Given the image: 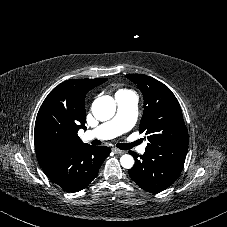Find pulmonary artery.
Listing matches in <instances>:
<instances>
[{"label": "pulmonary artery", "instance_id": "1", "mask_svg": "<svg viewBox=\"0 0 227 227\" xmlns=\"http://www.w3.org/2000/svg\"><path fill=\"white\" fill-rule=\"evenodd\" d=\"M137 96L130 94L116 99L118 104L117 114L109 121L97 126L95 129L87 131L83 139L86 141L92 139L107 140L118 137L129 132L136 121ZM145 146L139 148V152L144 154Z\"/></svg>", "mask_w": 227, "mask_h": 227}]
</instances>
